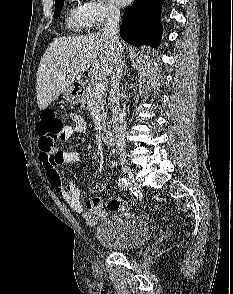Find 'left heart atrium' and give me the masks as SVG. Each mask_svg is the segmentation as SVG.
Masks as SVG:
<instances>
[{"mask_svg": "<svg viewBox=\"0 0 233 294\" xmlns=\"http://www.w3.org/2000/svg\"><path fill=\"white\" fill-rule=\"evenodd\" d=\"M113 1L120 6H125L131 2V0H113Z\"/></svg>", "mask_w": 233, "mask_h": 294, "instance_id": "left-heart-atrium-1", "label": "left heart atrium"}]
</instances>
